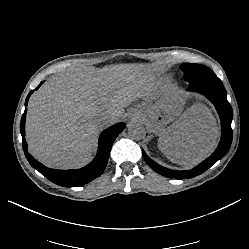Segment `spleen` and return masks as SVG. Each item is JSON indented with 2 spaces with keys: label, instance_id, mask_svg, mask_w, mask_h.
Here are the masks:
<instances>
[{
  "label": "spleen",
  "instance_id": "spleen-1",
  "mask_svg": "<svg viewBox=\"0 0 249 249\" xmlns=\"http://www.w3.org/2000/svg\"><path fill=\"white\" fill-rule=\"evenodd\" d=\"M159 148H160L162 151H164L165 154H166L169 158H171V160H174V157H173V155H172V152H171V150H170L167 146H164V148H163V147H161V145H159Z\"/></svg>",
  "mask_w": 249,
  "mask_h": 249
}]
</instances>
